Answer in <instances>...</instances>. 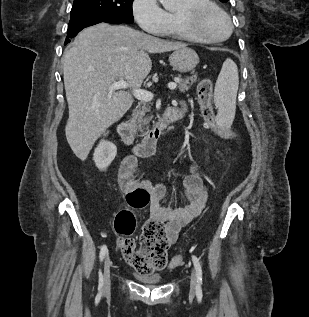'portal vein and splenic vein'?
Masks as SVG:
<instances>
[{"label":"portal vein and splenic vein","mask_w":309,"mask_h":317,"mask_svg":"<svg viewBox=\"0 0 309 317\" xmlns=\"http://www.w3.org/2000/svg\"><path fill=\"white\" fill-rule=\"evenodd\" d=\"M128 87V84L126 81H124L123 78H120L118 81H115L111 86H110V91H114L117 89H125ZM177 87V84L174 82L168 83V88L170 90H174ZM133 95L141 101L149 102L153 98V93L144 89H136L133 91Z\"/></svg>","instance_id":"portal-vein-and-splenic-vein-1"}]
</instances>
